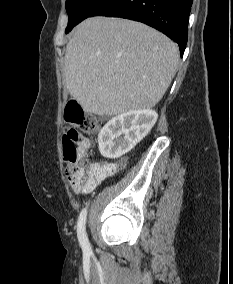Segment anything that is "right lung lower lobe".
Instances as JSON below:
<instances>
[{
  "mask_svg": "<svg viewBox=\"0 0 233 284\" xmlns=\"http://www.w3.org/2000/svg\"><path fill=\"white\" fill-rule=\"evenodd\" d=\"M191 6L192 0H107L89 17H122L143 22L177 42L182 56Z\"/></svg>",
  "mask_w": 233,
  "mask_h": 284,
  "instance_id": "obj_1",
  "label": "right lung lower lobe"
}]
</instances>
